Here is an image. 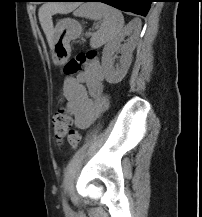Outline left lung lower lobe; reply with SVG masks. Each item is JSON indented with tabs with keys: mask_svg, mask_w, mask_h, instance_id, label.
Returning a JSON list of instances; mask_svg holds the SVG:
<instances>
[{
	"mask_svg": "<svg viewBox=\"0 0 202 217\" xmlns=\"http://www.w3.org/2000/svg\"><path fill=\"white\" fill-rule=\"evenodd\" d=\"M54 2H103L123 11L146 16L153 0H48Z\"/></svg>",
	"mask_w": 202,
	"mask_h": 217,
	"instance_id": "1",
	"label": "left lung lower lobe"
}]
</instances>
